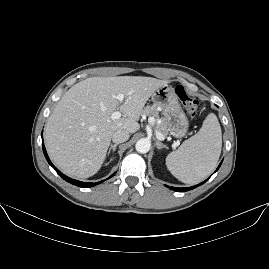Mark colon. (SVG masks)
Returning <instances> with one entry per match:
<instances>
[{
  "mask_svg": "<svg viewBox=\"0 0 269 269\" xmlns=\"http://www.w3.org/2000/svg\"><path fill=\"white\" fill-rule=\"evenodd\" d=\"M175 92L179 100L182 102L187 114L191 117L197 116L199 113L200 101L197 98L187 94L185 89L180 85L175 88Z\"/></svg>",
  "mask_w": 269,
  "mask_h": 269,
  "instance_id": "5ec220e1",
  "label": "colon"
}]
</instances>
